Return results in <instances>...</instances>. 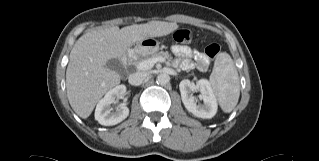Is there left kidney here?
I'll return each mask as SVG.
<instances>
[{"mask_svg":"<svg viewBox=\"0 0 319 161\" xmlns=\"http://www.w3.org/2000/svg\"><path fill=\"white\" fill-rule=\"evenodd\" d=\"M181 99L188 110L194 116L210 119L217 112V101L210 83L206 79H200L196 84L188 79L182 80L179 84ZM200 91V98L203 100L202 105H198L192 92Z\"/></svg>","mask_w":319,"mask_h":161,"instance_id":"left-kidney-1","label":"left kidney"}]
</instances>
